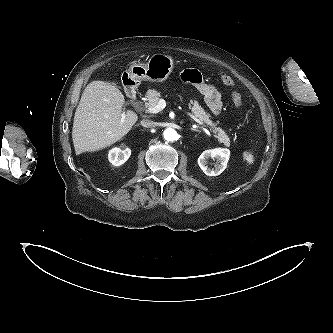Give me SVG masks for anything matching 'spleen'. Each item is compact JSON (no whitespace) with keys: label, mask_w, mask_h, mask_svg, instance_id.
<instances>
[{"label":"spleen","mask_w":333,"mask_h":333,"mask_svg":"<svg viewBox=\"0 0 333 333\" xmlns=\"http://www.w3.org/2000/svg\"><path fill=\"white\" fill-rule=\"evenodd\" d=\"M243 157L249 165H252L254 163V156L251 152L245 151L243 153Z\"/></svg>","instance_id":"spleen-1"}]
</instances>
